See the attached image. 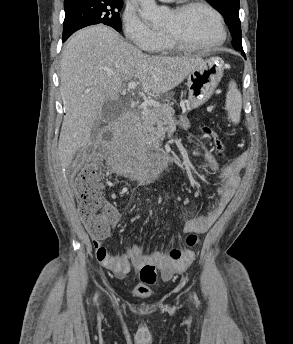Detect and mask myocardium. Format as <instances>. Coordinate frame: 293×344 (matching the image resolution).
Returning a JSON list of instances; mask_svg holds the SVG:
<instances>
[{
    "mask_svg": "<svg viewBox=\"0 0 293 344\" xmlns=\"http://www.w3.org/2000/svg\"><path fill=\"white\" fill-rule=\"evenodd\" d=\"M195 7H200L204 8L207 11H209L212 16L214 17L217 27H218V32L219 35L217 39L209 44L205 45H193L182 39L176 34L169 33V32H163L164 36L167 38V40L176 48L188 52H207L214 50L221 46L226 38H227V30L224 22V18L222 14L211 4L207 3L204 0H189L177 7H175L172 12L176 15H181L188 11L189 9L195 8Z\"/></svg>",
    "mask_w": 293,
    "mask_h": 344,
    "instance_id": "f54148a6",
    "label": "myocardium"
}]
</instances>
